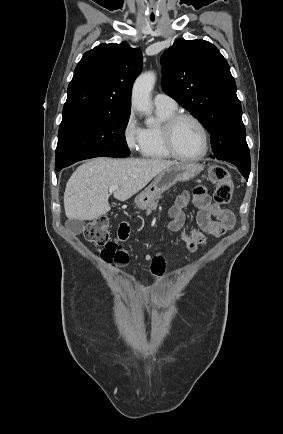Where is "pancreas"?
<instances>
[{
  "mask_svg": "<svg viewBox=\"0 0 283 434\" xmlns=\"http://www.w3.org/2000/svg\"><path fill=\"white\" fill-rule=\"evenodd\" d=\"M161 197L159 196V197H157L152 203H150L148 206H146V207H144L143 209H146L147 210V214L150 212V210L152 209V208H155V206H156V204H157V202H158V200L160 199Z\"/></svg>",
  "mask_w": 283,
  "mask_h": 434,
  "instance_id": "cf45deb5",
  "label": "pancreas"
}]
</instances>
